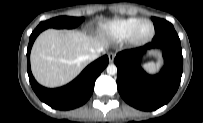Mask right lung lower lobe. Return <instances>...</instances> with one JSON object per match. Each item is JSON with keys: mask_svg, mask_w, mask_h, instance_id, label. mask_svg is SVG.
<instances>
[{"mask_svg": "<svg viewBox=\"0 0 203 123\" xmlns=\"http://www.w3.org/2000/svg\"><path fill=\"white\" fill-rule=\"evenodd\" d=\"M42 31L43 30L36 28L32 32L27 49V71L32 89L42 102L54 109L70 110L83 105L92 95L95 80L108 65V56L104 55L88 65L81 74L69 84L56 89L45 88L36 82L30 67V51L36 37Z\"/></svg>", "mask_w": 203, "mask_h": 123, "instance_id": "right-lung-lower-lobe-1", "label": "right lung lower lobe"}]
</instances>
